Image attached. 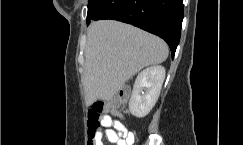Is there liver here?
<instances>
[{
  "label": "liver",
  "instance_id": "6515ba94",
  "mask_svg": "<svg viewBox=\"0 0 243 145\" xmlns=\"http://www.w3.org/2000/svg\"><path fill=\"white\" fill-rule=\"evenodd\" d=\"M167 57V44L155 35L114 20L92 22L83 75L86 105L113 98L141 69Z\"/></svg>",
  "mask_w": 243,
  "mask_h": 145
}]
</instances>
